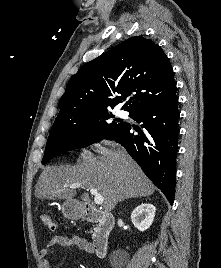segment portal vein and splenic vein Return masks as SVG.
<instances>
[{"instance_id": "1", "label": "portal vein and splenic vein", "mask_w": 221, "mask_h": 268, "mask_svg": "<svg viewBox=\"0 0 221 268\" xmlns=\"http://www.w3.org/2000/svg\"><path fill=\"white\" fill-rule=\"evenodd\" d=\"M65 187L75 188L76 189V188L82 187V185L80 183H73V184H70V185H65ZM90 193L92 195H94L95 204L101 205L103 203L104 198L100 193H98L97 189H94V188L90 189Z\"/></svg>"}]
</instances>
